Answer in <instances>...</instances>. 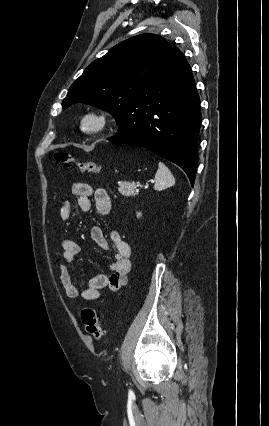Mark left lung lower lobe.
<instances>
[{"label":"left lung lower lobe","mask_w":269,"mask_h":426,"mask_svg":"<svg viewBox=\"0 0 269 426\" xmlns=\"http://www.w3.org/2000/svg\"><path fill=\"white\" fill-rule=\"evenodd\" d=\"M201 118L191 68L180 50L173 48L149 88L129 103L109 141L142 146L179 165L193 186Z\"/></svg>","instance_id":"1"}]
</instances>
